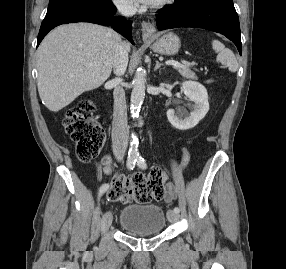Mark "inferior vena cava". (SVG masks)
<instances>
[{"mask_svg": "<svg viewBox=\"0 0 286 269\" xmlns=\"http://www.w3.org/2000/svg\"><path fill=\"white\" fill-rule=\"evenodd\" d=\"M118 12L123 16H132L136 10L128 3H117ZM128 65V49L125 42L119 44L115 50L113 70L116 77L112 80L115 84L114 113L112 124V147L115 157L122 160L128 146L129 131L127 126V107L125 92L120 86L121 76L124 75Z\"/></svg>", "mask_w": 286, "mask_h": 269, "instance_id": "inferior-vena-cava-1", "label": "inferior vena cava"}]
</instances>
